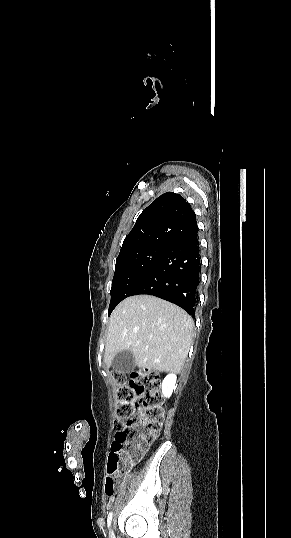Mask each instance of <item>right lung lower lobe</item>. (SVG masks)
I'll list each match as a JSON object with an SVG mask.
<instances>
[{
  "instance_id": "right-lung-lower-lobe-1",
  "label": "right lung lower lobe",
  "mask_w": 291,
  "mask_h": 538,
  "mask_svg": "<svg viewBox=\"0 0 291 538\" xmlns=\"http://www.w3.org/2000/svg\"><path fill=\"white\" fill-rule=\"evenodd\" d=\"M200 265V246L196 233L171 247L136 285L130 296L153 295L194 315L200 283Z\"/></svg>"
}]
</instances>
